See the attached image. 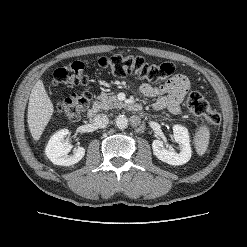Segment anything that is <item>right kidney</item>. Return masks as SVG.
Listing matches in <instances>:
<instances>
[{"mask_svg": "<svg viewBox=\"0 0 247 247\" xmlns=\"http://www.w3.org/2000/svg\"><path fill=\"white\" fill-rule=\"evenodd\" d=\"M69 130L62 129L56 132L49 140L45 154L55 165L70 166L78 163L85 155V149L78 147L73 155H68L72 145L68 139Z\"/></svg>", "mask_w": 247, "mask_h": 247, "instance_id": "right-kidney-1", "label": "right kidney"}]
</instances>
